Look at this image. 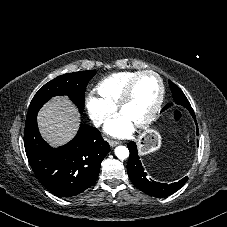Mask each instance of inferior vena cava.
Returning <instances> with one entry per match:
<instances>
[{
	"label": "inferior vena cava",
	"instance_id": "inferior-vena-cava-1",
	"mask_svg": "<svg viewBox=\"0 0 227 227\" xmlns=\"http://www.w3.org/2000/svg\"><path fill=\"white\" fill-rule=\"evenodd\" d=\"M103 118H95L94 120H93V123H94V125L96 126V127H99L102 123H103Z\"/></svg>",
	"mask_w": 227,
	"mask_h": 227
}]
</instances>
